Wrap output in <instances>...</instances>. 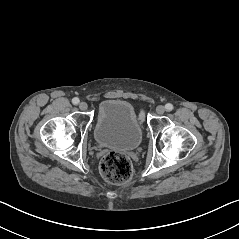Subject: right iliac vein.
<instances>
[{"label": "right iliac vein", "mask_w": 239, "mask_h": 239, "mask_svg": "<svg viewBox=\"0 0 239 239\" xmlns=\"http://www.w3.org/2000/svg\"><path fill=\"white\" fill-rule=\"evenodd\" d=\"M87 107H88V105H87L86 102H81V103L79 104V108H80V110H82V111H85V110L87 109Z\"/></svg>", "instance_id": "63e3f726"}]
</instances>
